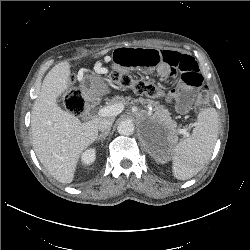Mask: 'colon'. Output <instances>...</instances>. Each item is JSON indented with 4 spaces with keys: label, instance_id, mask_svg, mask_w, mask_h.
<instances>
[{
    "label": "colon",
    "instance_id": "5ec220e1",
    "mask_svg": "<svg viewBox=\"0 0 250 250\" xmlns=\"http://www.w3.org/2000/svg\"><path fill=\"white\" fill-rule=\"evenodd\" d=\"M110 80L121 88L131 89L138 94L147 95L149 97H160L168 102L174 101L179 95L178 91L175 89L165 90L153 82L134 79L132 76L118 71L110 73ZM210 99L209 91L203 88L194 103V111L201 112L209 105ZM61 102L69 112L76 116L83 114L85 110L84 99L77 89L67 90L62 95Z\"/></svg>",
    "mask_w": 250,
    "mask_h": 250
}]
</instances>
